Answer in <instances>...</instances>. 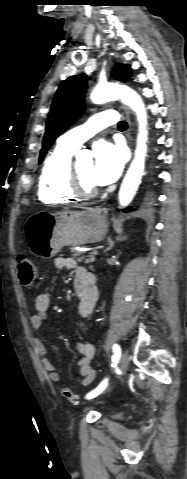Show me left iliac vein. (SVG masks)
I'll return each instance as SVG.
<instances>
[{
    "label": "left iliac vein",
    "mask_w": 187,
    "mask_h": 479,
    "mask_svg": "<svg viewBox=\"0 0 187 479\" xmlns=\"http://www.w3.org/2000/svg\"><path fill=\"white\" fill-rule=\"evenodd\" d=\"M129 365V356L126 352H123L120 357V367L122 372H125Z\"/></svg>",
    "instance_id": "4c4485c4"
}]
</instances>
